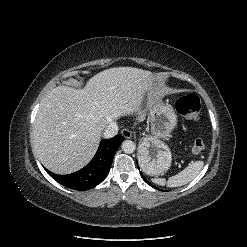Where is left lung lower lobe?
<instances>
[{
	"instance_id": "left-lung-lower-lobe-1",
	"label": "left lung lower lobe",
	"mask_w": 247,
	"mask_h": 247,
	"mask_svg": "<svg viewBox=\"0 0 247 247\" xmlns=\"http://www.w3.org/2000/svg\"><path fill=\"white\" fill-rule=\"evenodd\" d=\"M143 177V176H142ZM143 179L150 185V186H152L151 184H150V182H148L144 177H143ZM152 187H154V186H152ZM154 188H156V187H154Z\"/></svg>"
}]
</instances>
